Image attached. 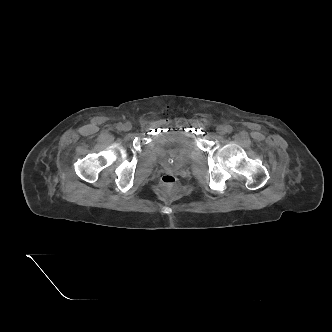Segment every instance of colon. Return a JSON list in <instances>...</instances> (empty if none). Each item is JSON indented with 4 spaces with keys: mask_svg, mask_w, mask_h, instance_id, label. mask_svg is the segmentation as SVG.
Returning <instances> with one entry per match:
<instances>
[{
    "mask_svg": "<svg viewBox=\"0 0 332 332\" xmlns=\"http://www.w3.org/2000/svg\"><path fill=\"white\" fill-rule=\"evenodd\" d=\"M161 188L166 194L175 195L180 191L181 185L176 176L166 174L161 179Z\"/></svg>",
    "mask_w": 332,
    "mask_h": 332,
    "instance_id": "1",
    "label": "colon"
}]
</instances>
